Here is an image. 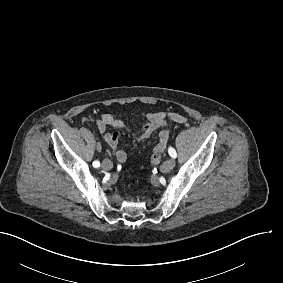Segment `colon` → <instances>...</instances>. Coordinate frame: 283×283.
Returning <instances> with one entry per match:
<instances>
[{
    "instance_id": "1",
    "label": "colon",
    "mask_w": 283,
    "mask_h": 283,
    "mask_svg": "<svg viewBox=\"0 0 283 283\" xmlns=\"http://www.w3.org/2000/svg\"><path fill=\"white\" fill-rule=\"evenodd\" d=\"M167 141V132L165 130H160L158 132L156 146L153 148L151 153V163L153 165L159 164L161 158L165 151V142Z\"/></svg>"
}]
</instances>
